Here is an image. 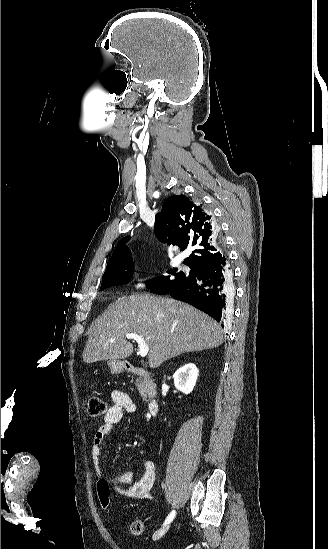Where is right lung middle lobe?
Returning <instances> with one entry per match:
<instances>
[{"mask_svg": "<svg viewBox=\"0 0 328 549\" xmlns=\"http://www.w3.org/2000/svg\"><path fill=\"white\" fill-rule=\"evenodd\" d=\"M133 268V261L128 259L106 269L102 278L101 290L110 285L128 283L131 279ZM192 276L193 270L190 271V273H184L183 271L174 268L173 270L168 271L167 275L155 277L150 281H147L146 286L153 292L161 293L164 290L186 282Z\"/></svg>", "mask_w": 328, "mask_h": 549, "instance_id": "obj_1", "label": "right lung middle lobe"}]
</instances>
